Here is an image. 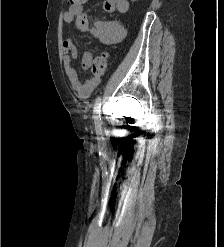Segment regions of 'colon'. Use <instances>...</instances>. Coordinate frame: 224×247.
<instances>
[{
	"mask_svg": "<svg viewBox=\"0 0 224 247\" xmlns=\"http://www.w3.org/2000/svg\"><path fill=\"white\" fill-rule=\"evenodd\" d=\"M86 0H68L70 7H80L85 4ZM108 56L106 53H101L94 58L91 63V71L95 76L102 75L107 67Z\"/></svg>",
	"mask_w": 224,
	"mask_h": 247,
	"instance_id": "colon-1",
	"label": "colon"
}]
</instances>
